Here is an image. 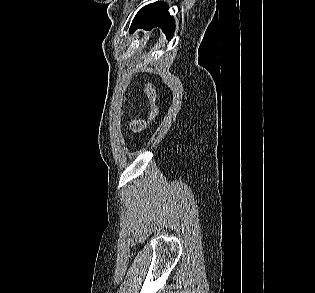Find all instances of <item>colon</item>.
<instances>
[{"mask_svg":"<svg viewBox=\"0 0 315 293\" xmlns=\"http://www.w3.org/2000/svg\"><path fill=\"white\" fill-rule=\"evenodd\" d=\"M144 92L149 100L150 103V120L149 123L150 125H152L153 127H156L158 125V120L157 118H159L160 114H161V107L160 105H156V93L154 90V87L148 83L145 85L144 87Z\"/></svg>","mask_w":315,"mask_h":293,"instance_id":"colon-1","label":"colon"}]
</instances>
